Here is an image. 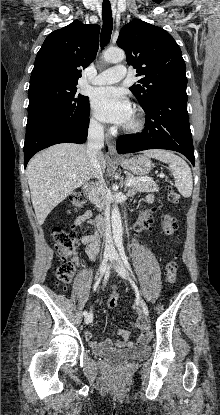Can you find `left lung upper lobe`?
<instances>
[{
    "label": "left lung upper lobe",
    "instance_id": "obj_1",
    "mask_svg": "<svg viewBox=\"0 0 220 415\" xmlns=\"http://www.w3.org/2000/svg\"><path fill=\"white\" fill-rule=\"evenodd\" d=\"M127 63L137 69L139 84L129 89L145 107L159 93L186 89V65L174 38L164 29L134 19L120 31L117 40Z\"/></svg>",
    "mask_w": 220,
    "mask_h": 415
}]
</instances>
